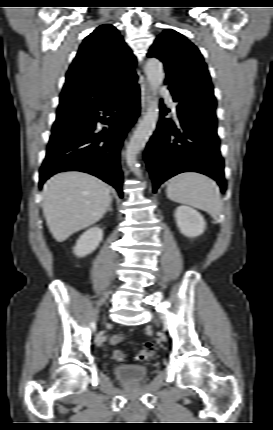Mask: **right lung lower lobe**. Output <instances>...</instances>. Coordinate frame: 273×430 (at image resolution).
I'll return each mask as SVG.
<instances>
[{"instance_id":"obj_1","label":"right lung lower lobe","mask_w":273,"mask_h":430,"mask_svg":"<svg viewBox=\"0 0 273 430\" xmlns=\"http://www.w3.org/2000/svg\"><path fill=\"white\" fill-rule=\"evenodd\" d=\"M139 97L138 85L123 89L86 107L89 114L80 127L52 134L40 169L39 187L58 172L76 170L90 173L114 186L122 198L120 149L140 113ZM101 112L112 117H100ZM98 121L108 124L109 128L98 131Z\"/></svg>"}]
</instances>
